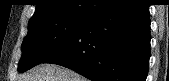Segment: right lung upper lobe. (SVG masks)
Listing matches in <instances>:
<instances>
[{
  "label": "right lung upper lobe",
  "mask_w": 169,
  "mask_h": 81,
  "mask_svg": "<svg viewBox=\"0 0 169 81\" xmlns=\"http://www.w3.org/2000/svg\"><path fill=\"white\" fill-rule=\"evenodd\" d=\"M116 0H37L36 10L29 22L49 16L91 17Z\"/></svg>",
  "instance_id": "right-lung-upper-lobe-1"
}]
</instances>
